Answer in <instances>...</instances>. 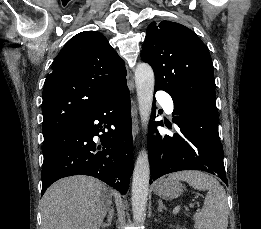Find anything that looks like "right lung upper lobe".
<instances>
[{
	"instance_id": "1",
	"label": "right lung upper lobe",
	"mask_w": 261,
	"mask_h": 229,
	"mask_svg": "<svg viewBox=\"0 0 261 229\" xmlns=\"http://www.w3.org/2000/svg\"><path fill=\"white\" fill-rule=\"evenodd\" d=\"M43 88V130L64 129L127 86L123 60L99 32L84 31L62 48Z\"/></svg>"
}]
</instances>
